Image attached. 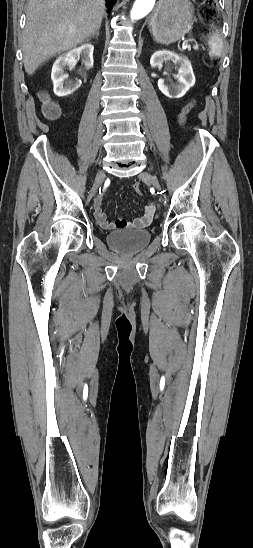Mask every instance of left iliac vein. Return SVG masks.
I'll list each match as a JSON object with an SVG mask.
<instances>
[{
    "label": "left iliac vein",
    "mask_w": 253,
    "mask_h": 548,
    "mask_svg": "<svg viewBox=\"0 0 253 548\" xmlns=\"http://www.w3.org/2000/svg\"><path fill=\"white\" fill-rule=\"evenodd\" d=\"M140 178L143 179V180H145V181H147V182H149V183L152 184L156 189L160 190L159 181H158V179H157L155 176H153V175H151V174H149V173H147V172H143V173L140 174Z\"/></svg>",
    "instance_id": "4c4485c4"
}]
</instances>
